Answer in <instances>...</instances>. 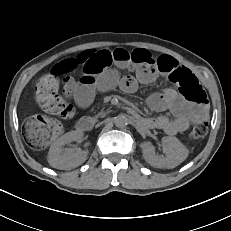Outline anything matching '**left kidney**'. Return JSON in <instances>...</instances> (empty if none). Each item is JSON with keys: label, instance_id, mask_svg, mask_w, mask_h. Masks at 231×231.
I'll return each instance as SVG.
<instances>
[{"label": "left kidney", "instance_id": "5707ae66", "mask_svg": "<svg viewBox=\"0 0 231 231\" xmlns=\"http://www.w3.org/2000/svg\"><path fill=\"white\" fill-rule=\"evenodd\" d=\"M163 152L165 156L156 155L151 142L141 143L143 157L148 164L157 168H174L188 156V150L176 137H163Z\"/></svg>", "mask_w": 231, "mask_h": 231}]
</instances>
